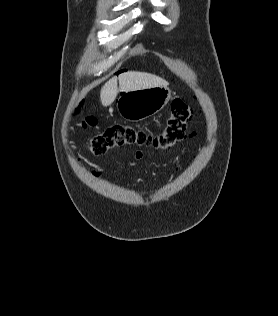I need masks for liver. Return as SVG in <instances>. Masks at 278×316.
Returning <instances> with one entry per match:
<instances>
[{
	"instance_id": "1",
	"label": "liver",
	"mask_w": 278,
	"mask_h": 316,
	"mask_svg": "<svg viewBox=\"0 0 278 316\" xmlns=\"http://www.w3.org/2000/svg\"><path fill=\"white\" fill-rule=\"evenodd\" d=\"M117 79L119 80V90ZM167 84V81L153 74L129 71L122 73L118 78L113 77L107 81L101 89L100 100L103 106H109L116 99L118 91L130 92L157 86H167Z\"/></svg>"
}]
</instances>
